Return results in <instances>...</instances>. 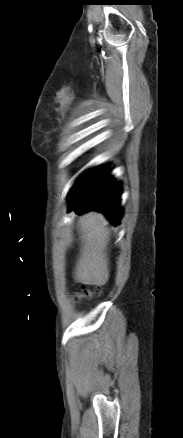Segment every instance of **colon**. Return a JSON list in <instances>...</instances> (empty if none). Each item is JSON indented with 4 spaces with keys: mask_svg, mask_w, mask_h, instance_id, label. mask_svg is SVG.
I'll list each match as a JSON object with an SVG mask.
<instances>
[{
    "mask_svg": "<svg viewBox=\"0 0 183 438\" xmlns=\"http://www.w3.org/2000/svg\"><path fill=\"white\" fill-rule=\"evenodd\" d=\"M95 293H97V291H96V292H93V291H90V290H88V289H84L82 292H80V293L77 294L76 298H77V299H85V298H89V297H91L92 295H94Z\"/></svg>",
    "mask_w": 183,
    "mask_h": 438,
    "instance_id": "obj_1",
    "label": "colon"
}]
</instances>
